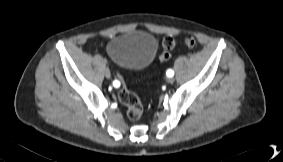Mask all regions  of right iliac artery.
Listing matches in <instances>:
<instances>
[{"instance_id":"obj_1","label":"right iliac artery","mask_w":283,"mask_h":162,"mask_svg":"<svg viewBox=\"0 0 283 162\" xmlns=\"http://www.w3.org/2000/svg\"><path fill=\"white\" fill-rule=\"evenodd\" d=\"M113 85H114V86H119V88H122V87H123V84L120 83L119 81H114V82H113Z\"/></svg>"}]
</instances>
